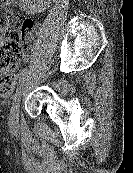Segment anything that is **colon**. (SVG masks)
<instances>
[{
    "label": "colon",
    "instance_id": "1",
    "mask_svg": "<svg viewBox=\"0 0 133 173\" xmlns=\"http://www.w3.org/2000/svg\"><path fill=\"white\" fill-rule=\"evenodd\" d=\"M12 0H0V95L9 96L17 66L24 59L33 21L22 18L6 5Z\"/></svg>",
    "mask_w": 133,
    "mask_h": 173
}]
</instances>
